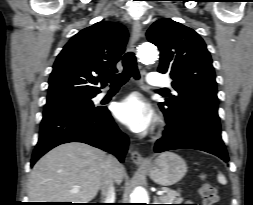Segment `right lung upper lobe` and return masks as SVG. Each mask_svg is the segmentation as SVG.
I'll use <instances>...</instances> for the list:
<instances>
[{
	"label": "right lung upper lobe",
	"instance_id": "right-lung-upper-lobe-1",
	"mask_svg": "<svg viewBox=\"0 0 253 205\" xmlns=\"http://www.w3.org/2000/svg\"><path fill=\"white\" fill-rule=\"evenodd\" d=\"M128 40L126 28L101 21L77 33L58 55L49 79L47 102L95 96L96 85L108 72L115 73ZM102 87L105 82H101Z\"/></svg>",
	"mask_w": 253,
	"mask_h": 205
}]
</instances>
